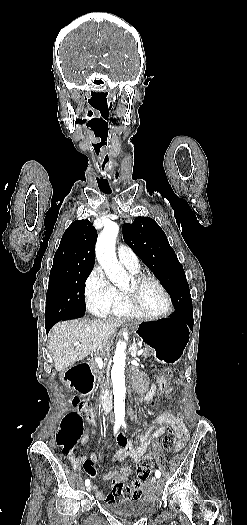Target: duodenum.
Wrapping results in <instances>:
<instances>
[{
	"mask_svg": "<svg viewBox=\"0 0 247 525\" xmlns=\"http://www.w3.org/2000/svg\"><path fill=\"white\" fill-rule=\"evenodd\" d=\"M66 383L83 395L91 393L94 387L92 365L88 361H80L65 373ZM96 407L108 413L112 409V395L106 392L96 403Z\"/></svg>",
	"mask_w": 247,
	"mask_h": 525,
	"instance_id": "1",
	"label": "duodenum"
}]
</instances>
